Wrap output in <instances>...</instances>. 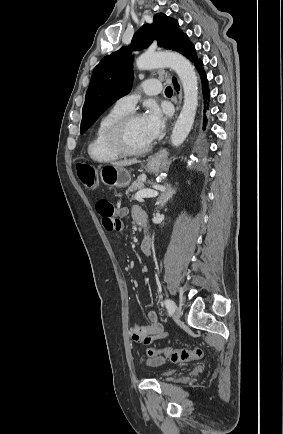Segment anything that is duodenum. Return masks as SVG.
<instances>
[{"mask_svg":"<svg viewBox=\"0 0 283 434\" xmlns=\"http://www.w3.org/2000/svg\"><path fill=\"white\" fill-rule=\"evenodd\" d=\"M141 227L144 229V231H145V239H144V242H150V234H149V230H148V227H147V223H145V222H142L141 224Z\"/></svg>","mask_w":283,"mask_h":434,"instance_id":"410a0bca","label":"duodenum"}]
</instances>
